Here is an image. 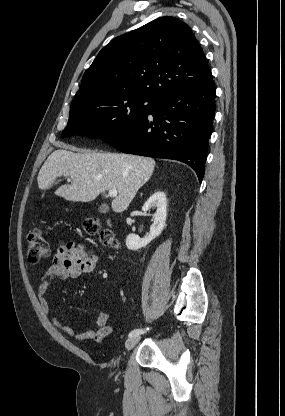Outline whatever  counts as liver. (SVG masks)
<instances>
[{
  "instance_id": "liver-1",
  "label": "liver",
  "mask_w": 285,
  "mask_h": 416,
  "mask_svg": "<svg viewBox=\"0 0 285 416\" xmlns=\"http://www.w3.org/2000/svg\"><path fill=\"white\" fill-rule=\"evenodd\" d=\"M57 148L44 162L37 178L39 190H48L57 178H71V184L60 186L56 196L69 202H93L106 190H117L111 206L113 212L121 214L127 210L138 190L150 180L155 162L152 158L130 156V154H97L85 152L79 154L67 152L75 150L56 142Z\"/></svg>"
}]
</instances>
